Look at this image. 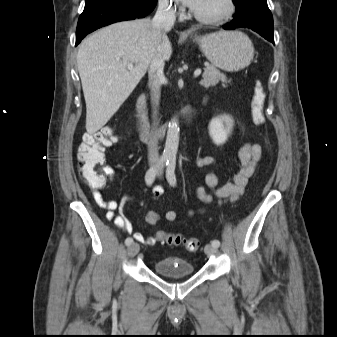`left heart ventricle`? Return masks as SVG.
I'll list each match as a JSON object with an SVG mask.
<instances>
[{"instance_id":"1","label":"left heart ventricle","mask_w":337,"mask_h":337,"mask_svg":"<svg viewBox=\"0 0 337 337\" xmlns=\"http://www.w3.org/2000/svg\"><path fill=\"white\" fill-rule=\"evenodd\" d=\"M224 9V0H201L200 4L196 9H194V11L202 15L213 16L221 14Z\"/></svg>"}]
</instances>
